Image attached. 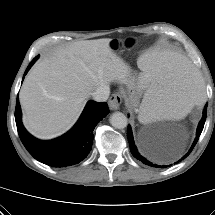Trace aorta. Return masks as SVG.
<instances>
[{
    "label": "aorta",
    "mask_w": 215,
    "mask_h": 215,
    "mask_svg": "<svg viewBox=\"0 0 215 215\" xmlns=\"http://www.w3.org/2000/svg\"><path fill=\"white\" fill-rule=\"evenodd\" d=\"M110 123L116 129H123L127 126V117L122 112H114L110 117Z\"/></svg>",
    "instance_id": "1"
}]
</instances>
